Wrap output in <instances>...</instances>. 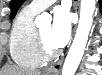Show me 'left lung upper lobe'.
Masks as SVG:
<instances>
[{
	"label": "left lung upper lobe",
	"mask_w": 102,
	"mask_h": 75,
	"mask_svg": "<svg viewBox=\"0 0 102 75\" xmlns=\"http://www.w3.org/2000/svg\"><path fill=\"white\" fill-rule=\"evenodd\" d=\"M25 0H11V19L15 17L17 10Z\"/></svg>",
	"instance_id": "1"
}]
</instances>
